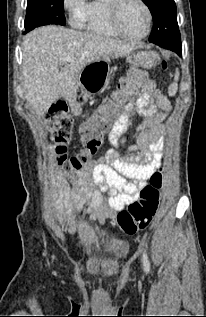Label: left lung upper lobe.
<instances>
[{"mask_svg": "<svg viewBox=\"0 0 206 317\" xmlns=\"http://www.w3.org/2000/svg\"><path fill=\"white\" fill-rule=\"evenodd\" d=\"M153 16L149 41L154 44H181L174 0H142Z\"/></svg>", "mask_w": 206, "mask_h": 317, "instance_id": "1", "label": "left lung upper lobe"}]
</instances>
